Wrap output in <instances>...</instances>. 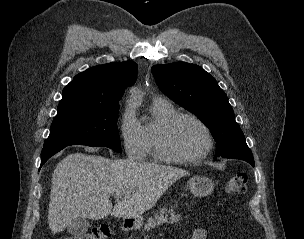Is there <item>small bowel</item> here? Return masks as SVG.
Wrapping results in <instances>:
<instances>
[{"instance_id": "1", "label": "small bowel", "mask_w": 304, "mask_h": 239, "mask_svg": "<svg viewBox=\"0 0 304 239\" xmlns=\"http://www.w3.org/2000/svg\"><path fill=\"white\" fill-rule=\"evenodd\" d=\"M206 233L203 229H195L189 239H206Z\"/></svg>"}]
</instances>
